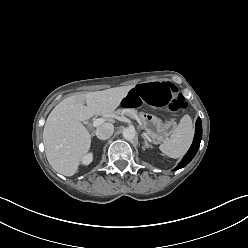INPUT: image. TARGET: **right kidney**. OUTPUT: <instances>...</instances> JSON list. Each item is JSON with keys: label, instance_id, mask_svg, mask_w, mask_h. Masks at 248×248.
Returning <instances> with one entry per match:
<instances>
[{"label": "right kidney", "instance_id": "ca27d5eb", "mask_svg": "<svg viewBox=\"0 0 248 248\" xmlns=\"http://www.w3.org/2000/svg\"><path fill=\"white\" fill-rule=\"evenodd\" d=\"M92 159H93L92 154H88L83 158L82 163L88 165L92 162Z\"/></svg>", "mask_w": 248, "mask_h": 248}]
</instances>
